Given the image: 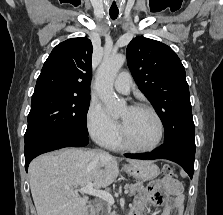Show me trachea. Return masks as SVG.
I'll return each instance as SVG.
<instances>
[{
    "label": "trachea",
    "instance_id": "1",
    "mask_svg": "<svg viewBox=\"0 0 223 215\" xmlns=\"http://www.w3.org/2000/svg\"><path fill=\"white\" fill-rule=\"evenodd\" d=\"M110 17L116 19L118 17V10H109Z\"/></svg>",
    "mask_w": 223,
    "mask_h": 215
}]
</instances>
